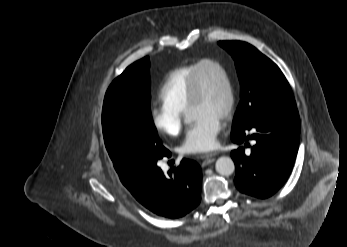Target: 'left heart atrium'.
Returning a JSON list of instances; mask_svg holds the SVG:
<instances>
[{"mask_svg": "<svg viewBox=\"0 0 347 247\" xmlns=\"http://www.w3.org/2000/svg\"><path fill=\"white\" fill-rule=\"evenodd\" d=\"M222 129V119L211 115H203L195 119L189 126L181 144L184 154L204 153L216 145V137Z\"/></svg>", "mask_w": 347, "mask_h": 247, "instance_id": "1", "label": "left heart atrium"}]
</instances>
